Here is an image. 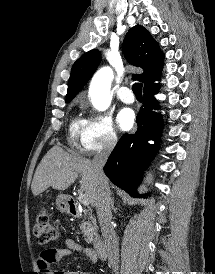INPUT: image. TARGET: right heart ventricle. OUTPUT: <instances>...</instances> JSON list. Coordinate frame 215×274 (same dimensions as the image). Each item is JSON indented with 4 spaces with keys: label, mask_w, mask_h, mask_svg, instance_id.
<instances>
[{
    "label": "right heart ventricle",
    "mask_w": 215,
    "mask_h": 274,
    "mask_svg": "<svg viewBox=\"0 0 215 274\" xmlns=\"http://www.w3.org/2000/svg\"><path fill=\"white\" fill-rule=\"evenodd\" d=\"M84 127V120L75 118L70 124V135L72 138L80 136Z\"/></svg>",
    "instance_id": "e07e8e85"
}]
</instances>
